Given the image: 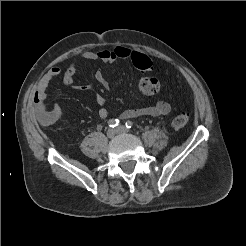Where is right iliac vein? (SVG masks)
I'll list each match as a JSON object with an SVG mask.
<instances>
[{
	"label": "right iliac vein",
	"instance_id": "1",
	"mask_svg": "<svg viewBox=\"0 0 246 246\" xmlns=\"http://www.w3.org/2000/svg\"><path fill=\"white\" fill-rule=\"evenodd\" d=\"M115 134H116V130L115 129H112V128L108 129V131H107V137L108 138H110V139L114 138Z\"/></svg>",
	"mask_w": 246,
	"mask_h": 246
}]
</instances>
